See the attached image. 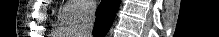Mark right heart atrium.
<instances>
[{
    "label": "right heart atrium",
    "instance_id": "d8ad5b80",
    "mask_svg": "<svg viewBox=\"0 0 219 37\" xmlns=\"http://www.w3.org/2000/svg\"><path fill=\"white\" fill-rule=\"evenodd\" d=\"M95 2L86 0H68L61 10V18L67 22H79L92 15Z\"/></svg>",
    "mask_w": 219,
    "mask_h": 37
}]
</instances>
